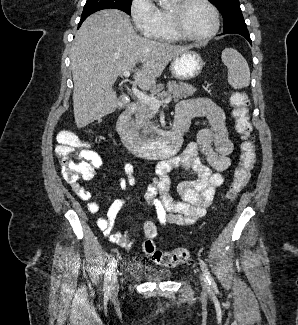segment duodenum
Wrapping results in <instances>:
<instances>
[{"label":"duodenum","instance_id":"1","mask_svg":"<svg viewBox=\"0 0 298 325\" xmlns=\"http://www.w3.org/2000/svg\"><path fill=\"white\" fill-rule=\"evenodd\" d=\"M137 105L131 102L117 121L118 134L125 147L134 155L151 159L166 158L175 155L182 143V135L189 127L198 110L190 104L180 103L176 109L175 120L170 132L159 140L146 141L138 138L131 129V119Z\"/></svg>","mask_w":298,"mask_h":325}]
</instances>
